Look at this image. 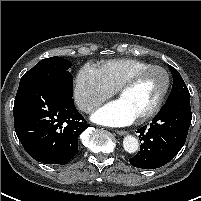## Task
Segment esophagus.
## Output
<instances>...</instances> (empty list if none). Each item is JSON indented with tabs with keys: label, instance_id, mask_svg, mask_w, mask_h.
Returning <instances> with one entry per match:
<instances>
[{
	"label": "esophagus",
	"instance_id": "1",
	"mask_svg": "<svg viewBox=\"0 0 201 201\" xmlns=\"http://www.w3.org/2000/svg\"><path fill=\"white\" fill-rule=\"evenodd\" d=\"M115 132H116V134L121 135V136L127 134V131H125V130H116Z\"/></svg>",
	"mask_w": 201,
	"mask_h": 201
}]
</instances>
